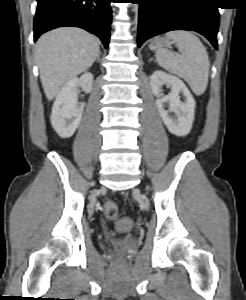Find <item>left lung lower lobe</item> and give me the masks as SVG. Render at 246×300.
I'll use <instances>...</instances> for the list:
<instances>
[{
    "instance_id": "left-lung-lower-lobe-1",
    "label": "left lung lower lobe",
    "mask_w": 246,
    "mask_h": 300,
    "mask_svg": "<svg viewBox=\"0 0 246 300\" xmlns=\"http://www.w3.org/2000/svg\"><path fill=\"white\" fill-rule=\"evenodd\" d=\"M140 4L138 47L147 39L171 30H192L217 49L219 12L215 0H135Z\"/></svg>"
}]
</instances>
